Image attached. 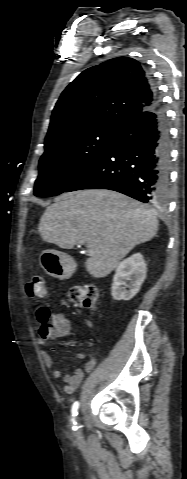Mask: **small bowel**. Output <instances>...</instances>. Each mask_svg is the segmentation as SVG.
Wrapping results in <instances>:
<instances>
[{
  "mask_svg": "<svg viewBox=\"0 0 187 479\" xmlns=\"http://www.w3.org/2000/svg\"><path fill=\"white\" fill-rule=\"evenodd\" d=\"M53 317L60 327V332L57 337L62 338L68 336L70 333L69 320L61 313H56ZM84 322L89 328L94 327L92 320L85 318ZM40 344L44 345V342H41ZM41 358L47 369L50 371L52 377L62 380L63 391L66 394H73L82 383L84 374L91 372L96 365V357L94 354L79 353L77 354V358L80 360H85L83 368H77L72 373L64 374L62 370L54 364L52 357L47 352L41 351Z\"/></svg>",
  "mask_w": 187,
  "mask_h": 479,
  "instance_id": "small-bowel-1",
  "label": "small bowel"
}]
</instances>
